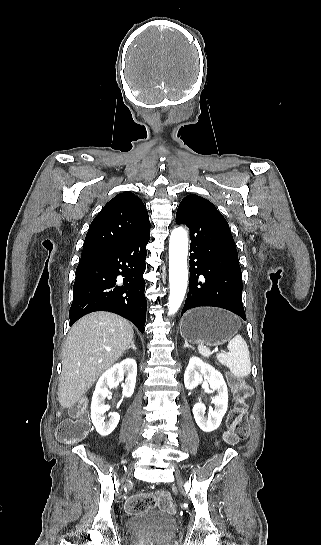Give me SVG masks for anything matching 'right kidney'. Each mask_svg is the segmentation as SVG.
<instances>
[{
	"instance_id": "obj_1",
	"label": "right kidney",
	"mask_w": 321,
	"mask_h": 545,
	"mask_svg": "<svg viewBox=\"0 0 321 545\" xmlns=\"http://www.w3.org/2000/svg\"><path fill=\"white\" fill-rule=\"evenodd\" d=\"M124 375L126 377V383L123 387V397H132L135 389L136 377H137V365L134 359H124L121 363H116L111 369H108L102 377H100L96 389L93 393L91 403V419L92 423L101 437H107L115 427H117L120 417L118 413H110L109 421H105L104 413L109 411V405H104L106 397H108L109 389H115L119 383L123 381Z\"/></svg>"
}]
</instances>
